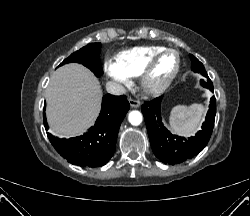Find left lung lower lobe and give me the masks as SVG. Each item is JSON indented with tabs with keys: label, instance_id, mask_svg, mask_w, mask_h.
Listing matches in <instances>:
<instances>
[{
	"label": "left lung lower lobe",
	"instance_id": "obj_1",
	"mask_svg": "<svg viewBox=\"0 0 250 216\" xmlns=\"http://www.w3.org/2000/svg\"><path fill=\"white\" fill-rule=\"evenodd\" d=\"M201 85L213 92V84L200 81ZM162 96L145 102L141 110L145 119L151 148L163 163L177 164L193 158L207 145L214 126L216 100L211 97L210 106L202 130L188 139L171 134L161 120Z\"/></svg>",
	"mask_w": 250,
	"mask_h": 216
}]
</instances>
